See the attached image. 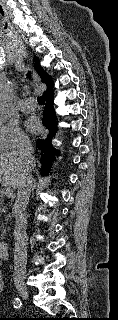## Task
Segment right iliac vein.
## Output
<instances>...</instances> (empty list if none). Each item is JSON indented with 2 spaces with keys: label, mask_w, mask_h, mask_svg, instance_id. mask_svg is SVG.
Segmentation results:
<instances>
[{
  "label": "right iliac vein",
  "mask_w": 118,
  "mask_h": 320,
  "mask_svg": "<svg viewBox=\"0 0 118 320\" xmlns=\"http://www.w3.org/2000/svg\"><path fill=\"white\" fill-rule=\"evenodd\" d=\"M16 288H17V291H18V294L23 298V299H27L28 296H29V293H28V290H27V287L25 284L23 283H18L16 285Z\"/></svg>",
  "instance_id": "right-iliac-vein-1"
}]
</instances>
